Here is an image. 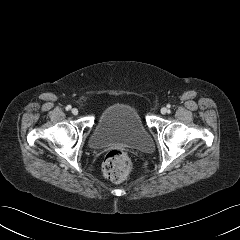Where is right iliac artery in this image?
I'll list each match as a JSON object with an SVG mask.
<instances>
[{"label": "right iliac artery", "instance_id": "1", "mask_svg": "<svg viewBox=\"0 0 240 240\" xmlns=\"http://www.w3.org/2000/svg\"><path fill=\"white\" fill-rule=\"evenodd\" d=\"M72 107H71V105H67L66 106V110L68 111V110H70Z\"/></svg>", "mask_w": 240, "mask_h": 240}]
</instances>
